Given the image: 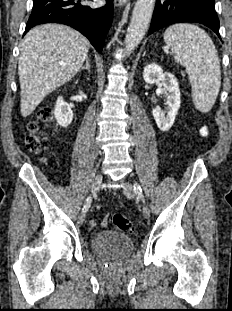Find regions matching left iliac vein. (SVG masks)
I'll return each mask as SVG.
<instances>
[{"instance_id":"1","label":"left iliac vein","mask_w":232,"mask_h":311,"mask_svg":"<svg viewBox=\"0 0 232 311\" xmlns=\"http://www.w3.org/2000/svg\"><path fill=\"white\" fill-rule=\"evenodd\" d=\"M123 192H124L125 196L128 198H134L135 197L134 188L129 183H125V185L123 187ZM143 216L146 219L150 218V209L146 204L143 205Z\"/></svg>"}]
</instances>
